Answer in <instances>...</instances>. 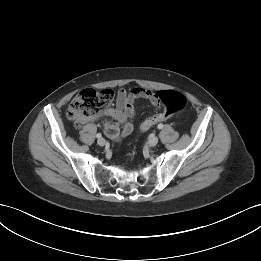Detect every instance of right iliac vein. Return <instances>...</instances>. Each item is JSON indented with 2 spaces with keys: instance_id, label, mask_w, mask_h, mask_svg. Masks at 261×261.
<instances>
[{
  "instance_id": "obj_1",
  "label": "right iliac vein",
  "mask_w": 261,
  "mask_h": 261,
  "mask_svg": "<svg viewBox=\"0 0 261 261\" xmlns=\"http://www.w3.org/2000/svg\"><path fill=\"white\" fill-rule=\"evenodd\" d=\"M99 146H104L105 145V139L104 138H99L97 141Z\"/></svg>"
}]
</instances>
